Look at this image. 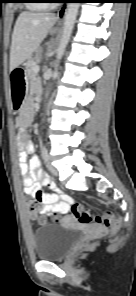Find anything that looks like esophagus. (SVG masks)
Returning <instances> with one entry per match:
<instances>
[{
	"instance_id": "obj_1",
	"label": "esophagus",
	"mask_w": 136,
	"mask_h": 296,
	"mask_svg": "<svg viewBox=\"0 0 136 296\" xmlns=\"http://www.w3.org/2000/svg\"><path fill=\"white\" fill-rule=\"evenodd\" d=\"M66 8H67V5H62L61 7H60V9L58 10V13H57V18L59 19V20H63L64 19V17H65V14H66Z\"/></svg>"
}]
</instances>
